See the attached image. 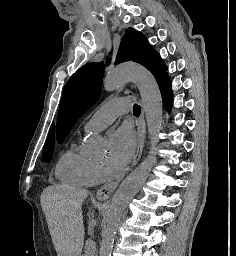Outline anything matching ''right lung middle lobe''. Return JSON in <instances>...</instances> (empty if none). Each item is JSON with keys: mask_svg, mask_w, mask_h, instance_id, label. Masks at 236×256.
<instances>
[{"mask_svg": "<svg viewBox=\"0 0 236 256\" xmlns=\"http://www.w3.org/2000/svg\"><path fill=\"white\" fill-rule=\"evenodd\" d=\"M54 149V142H47L43 150V161L50 162Z\"/></svg>", "mask_w": 236, "mask_h": 256, "instance_id": "dd1d6c3e", "label": "right lung middle lobe"}]
</instances>
